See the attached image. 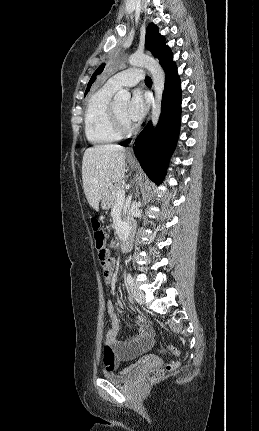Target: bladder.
<instances>
[{
  "instance_id": "bladder-1",
  "label": "bladder",
  "mask_w": 259,
  "mask_h": 431,
  "mask_svg": "<svg viewBox=\"0 0 259 431\" xmlns=\"http://www.w3.org/2000/svg\"><path fill=\"white\" fill-rule=\"evenodd\" d=\"M137 371L135 367H126L119 371H104L103 378L112 383L127 382Z\"/></svg>"
}]
</instances>
